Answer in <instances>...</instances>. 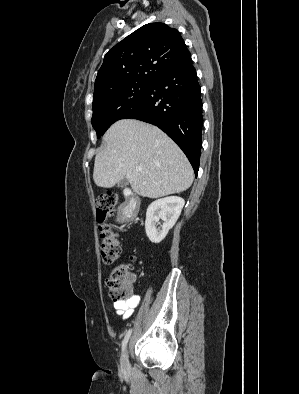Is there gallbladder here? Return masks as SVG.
Wrapping results in <instances>:
<instances>
[{"label": "gallbladder", "mask_w": 299, "mask_h": 394, "mask_svg": "<svg viewBox=\"0 0 299 394\" xmlns=\"http://www.w3.org/2000/svg\"><path fill=\"white\" fill-rule=\"evenodd\" d=\"M118 187L125 188L128 185L127 178H123L120 182H118Z\"/></svg>", "instance_id": "gallbladder-1"}]
</instances>
